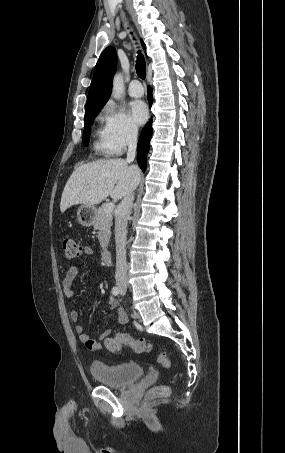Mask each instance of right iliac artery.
<instances>
[{
  "instance_id": "82829eb1",
  "label": "right iliac artery",
  "mask_w": 285,
  "mask_h": 453,
  "mask_svg": "<svg viewBox=\"0 0 285 453\" xmlns=\"http://www.w3.org/2000/svg\"><path fill=\"white\" fill-rule=\"evenodd\" d=\"M119 292H120V291H119L118 287H113V288H112V294H113V295L117 296V295L119 294Z\"/></svg>"
}]
</instances>
